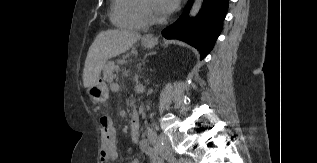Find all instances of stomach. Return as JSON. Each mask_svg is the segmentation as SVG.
<instances>
[{"mask_svg":"<svg viewBox=\"0 0 317 163\" xmlns=\"http://www.w3.org/2000/svg\"><path fill=\"white\" fill-rule=\"evenodd\" d=\"M142 45L145 48H149L152 44L143 42ZM87 94L94 104H102L108 99L109 90L106 83L99 79L93 86L87 89Z\"/></svg>","mask_w":317,"mask_h":163,"instance_id":"obj_1","label":"stomach"}]
</instances>
